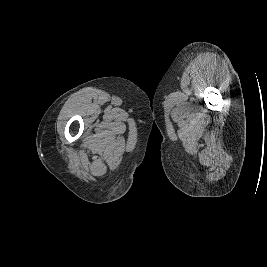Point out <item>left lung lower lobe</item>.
<instances>
[{
    "mask_svg": "<svg viewBox=\"0 0 267 267\" xmlns=\"http://www.w3.org/2000/svg\"><path fill=\"white\" fill-rule=\"evenodd\" d=\"M158 153H159V151L157 150L156 156H157Z\"/></svg>",
    "mask_w": 267,
    "mask_h": 267,
    "instance_id": "obj_1",
    "label": "left lung lower lobe"
}]
</instances>
